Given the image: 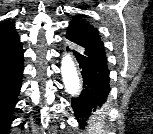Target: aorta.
Instances as JSON below:
<instances>
[{
	"instance_id": "1",
	"label": "aorta",
	"mask_w": 153,
	"mask_h": 134,
	"mask_svg": "<svg viewBox=\"0 0 153 134\" xmlns=\"http://www.w3.org/2000/svg\"><path fill=\"white\" fill-rule=\"evenodd\" d=\"M61 75L66 92L77 96L81 91V82L74 60L69 53L62 57Z\"/></svg>"
}]
</instances>
